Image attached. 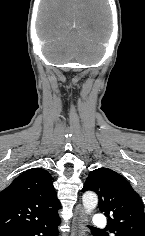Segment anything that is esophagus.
I'll return each mask as SVG.
<instances>
[{"mask_svg":"<svg viewBox=\"0 0 145 236\" xmlns=\"http://www.w3.org/2000/svg\"><path fill=\"white\" fill-rule=\"evenodd\" d=\"M84 210L81 205L75 208V214L72 222L71 236H81L83 230Z\"/></svg>","mask_w":145,"mask_h":236,"instance_id":"1","label":"esophagus"}]
</instances>
